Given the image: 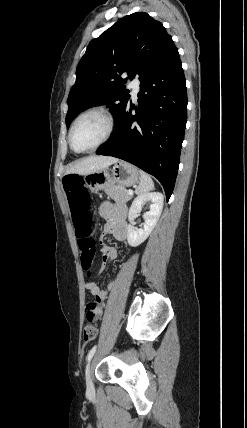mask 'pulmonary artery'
Segmentation results:
<instances>
[{
  "label": "pulmonary artery",
  "instance_id": "obj_1",
  "mask_svg": "<svg viewBox=\"0 0 247 428\" xmlns=\"http://www.w3.org/2000/svg\"><path fill=\"white\" fill-rule=\"evenodd\" d=\"M130 86L132 88L133 94L136 96L139 93L140 90V83L137 79H134L131 83Z\"/></svg>",
  "mask_w": 247,
  "mask_h": 428
}]
</instances>
